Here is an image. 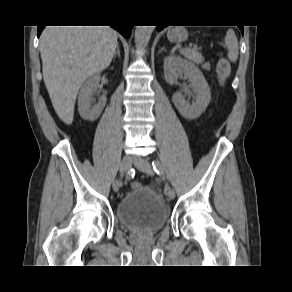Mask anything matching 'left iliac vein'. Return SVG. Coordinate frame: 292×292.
Here are the masks:
<instances>
[{
	"label": "left iliac vein",
	"instance_id": "obj_1",
	"mask_svg": "<svg viewBox=\"0 0 292 292\" xmlns=\"http://www.w3.org/2000/svg\"><path fill=\"white\" fill-rule=\"evenodd\" d=\"M133 163L140 171L148 175L154 174L153 167L147 159L142 158V157H135L133 159ZM166 195L169 200H173L175 198V191L172 188H170L169 191L166 193Z\"/></svg>",
	"mask_w": 292,
	"mask_h": 292
}]
</instances>
